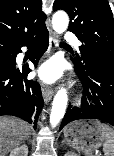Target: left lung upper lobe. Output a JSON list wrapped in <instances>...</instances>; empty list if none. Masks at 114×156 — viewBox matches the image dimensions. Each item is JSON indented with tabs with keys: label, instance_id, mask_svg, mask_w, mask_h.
I'll use <instances>...</instances> for the list:
<instances>
[{
	"label": "left lung upper lobe",
	"instance_id": "1",
	"mask_svg": "<svg viewBox=\"0 0 114 156\" xmlns=\"http://www.w3.org/2000/svg\"><path fill=\"white\" fill-rule=\"evenodd\" d=\"M53 9L65 10L70 17L69 31L83 42L81 57L91 55L114 64V21L107 0H55Z\"/></svg>",
	"mask_w": 114,
	"mask_h": 156
}]
</instances>
